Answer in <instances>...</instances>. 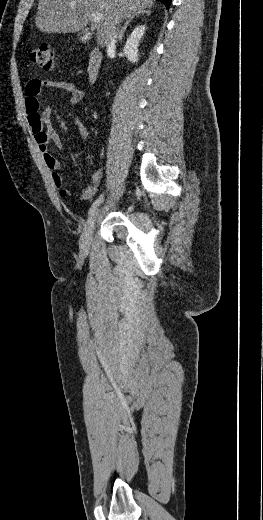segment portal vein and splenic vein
<instances>
[{
	"label": "portal vein and splenic vein",
	"instance_id": "1",
	"mask_svg": "<svg viewBox=\"0 0 263 520\" xmlns=\"http://www.w3.org/2000/svg\"><path fill=\"white\" fill-rule=\"evenodd\" d=\"M91 18H92V21L97 24L101 21V14L98 12H92Z\"/></svg>",
	"mask_w": 263,
	"mask_h": 520
}]
</instances>
